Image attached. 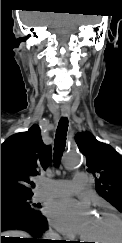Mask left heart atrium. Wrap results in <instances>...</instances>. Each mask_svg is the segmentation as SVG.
Listing matches in <instances>:
<instances>
[{
    "instance_id": "39dd6f15",
    "label": "left heart atrium",
    "mask_w": 122,
    "mask_h": 243,
    "mask_svg": "<svg viewBox=\"0 0 122 243\" xmlns=\"http://www.w3.org/2000/svg\"><path fill=\"white\" fill-rule=\"evenodd\" d=\"M52 225L65 235H84L92 218L89 206L72 198H60L47 208Z\"/></svg>"
}]
</instances>
